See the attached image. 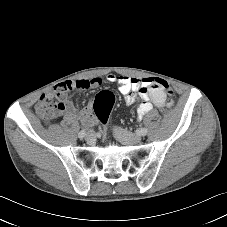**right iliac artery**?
I'll use <instances>...</instances> for the list:
<instances>
[{
    "instance_id": "obj_1",
    "label": "right iliac artery",
    "mask_w": 227,
    "mask_h": 227,
    "mask_svg": "<svg viewBox=\"0 0 227 227\" xmlns=\"http://www.w3.org/2000/svg\"><path fill=\"white\" fill-rule=\"evenodd\" d=\"M85 134H86V130L83 129V130H81V131L79 132L78 137H79L80 139H82V138H84Z\"/></svg>"
}]
</instances>
